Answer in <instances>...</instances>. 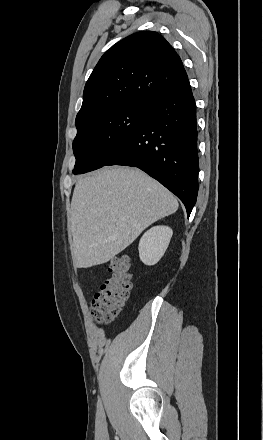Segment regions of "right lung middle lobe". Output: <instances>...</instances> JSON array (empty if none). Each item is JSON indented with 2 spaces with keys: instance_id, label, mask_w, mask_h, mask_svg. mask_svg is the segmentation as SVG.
I'll list each match as a JSON object with an SVG mask.
<instances>
[{
  "instance_id": "right-lung-middle-lobe-1",
  "label": "right lung middle lobe",
  "mask_w": 263,
  "mask_h": 440,
  "mask_svg": "<svg viewBox=\"0 0 263 440\" xmlns=\"http://www.w3.org/2000/svg\"><path fill=\"white\" fill-rule=\"evenodd\" d=\"M147 112V102H132L97 113L76 125L73 173L105 166L113 151L139 127Z\"/></svg>"
}]
</instances>
